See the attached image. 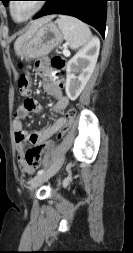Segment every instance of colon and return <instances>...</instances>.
Segmentation results:
<instances>
[{
	"label": "colon",
	"instance_id": "5ec220e1",
	"mask_svg": "<svg viewBox=\"0 0 133 253\" xmlns=\"http://www.w3.org/2000/svg\"><path fill=\"white\" fill-rule=\"evenodd\" d=\"M50 63L53 70H55L58 73L62 71L66 65L65 59L59 55H53L50 59ZM19 66L21 69L27 68V65L23 62H21ZM18 88L21 99L22 97H29L31 92V84L29 75L27 73H23L20 75L18 79ZM75 116H76V109L73 107L68 108L65 114L66 123L59 131V136L63 135V133L70 127V125H75V122H77L78 120L77 117ZM48 146H49L48 143H44L39 147L29 149L26 153L27 163L34 168H38L41 165L42 155L48 148Z\"/></svg>",
	"mask_w": 133,
	"mask_h": 253
}]
</instances>
